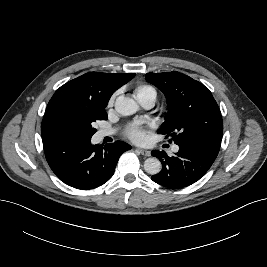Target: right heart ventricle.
I'll list each match as a JSON object with an SVG mask.
<instances>
[{"instance_id":"right-heart-ventricle-1","label":"right heart ventricle","mask_w":267,"mask_h":267,"mask_svg":"<svg viewBox=\"0 0 267 267\" xmlns=\"http://www.w3.org/2000/svg\"><path fill=\"white\" fill-rule=\"evenodd\" d=\"M134 94L139 101L150 97L156 99L157 96L155 88L148 84L138 85L134 90Z\"/></svg>"}]
</instances>
